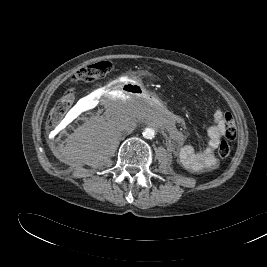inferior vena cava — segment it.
<instances>
[{
	"instance_id": "602c4592",
	"label": "inferior vena cava",
	"mask_w": 267,
	"mask_h": 267,
	"mask_svg": "<svg viewBox=\"0 0 267 267\" xmlns=\"http://www.w3.org/2000/svg\"><path fill=\"white\" fill-rule=\"evenodd\" d=\"M116 126L120 131L131 133L136 128V122L129 116L121 115L116 120Z\"/></svg>"
}]
</instances>
